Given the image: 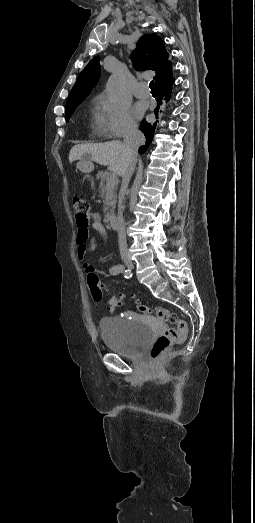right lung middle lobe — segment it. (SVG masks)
Returning a JSON list of instances; mask_svg holds the SVG:
<instances>
[{
    "label": "right lung middle lobe",
    "mask_w": 255,
    "mask_h": 523,
    "mask_svg": "<svg viewBox=\"0 0 255 523\" xmlns=\"http://www.w3.org/2000/svg\"><path fill=\"white\" fill-rule=\"evenodd\" d=\"M80 103L81 102H68V103H66V108H65L66 121H69L72 113L74 112V110L76 109V107Z\"/></svg>",
    "instance_id": "1"
}]
</instances>
